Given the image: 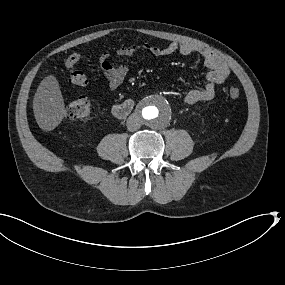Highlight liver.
<instances>
[{
  "mask_svg": "<svg viewBox=\"0 0 285 285\" xmlns=\"http://www.w3.org/2000/svg\"><path fill=\"white\" fill-rule=\"evenodd\" d=\"M33 111L37 124L44 131L55 129L63 120L65 105L55 76L45 77L33 99Z\"/></svg>",
  "mask_w": 285,
  "mask_h": 285,
  "instance_id": "liver-1",
  "label": "liver"
}]
</instances>
